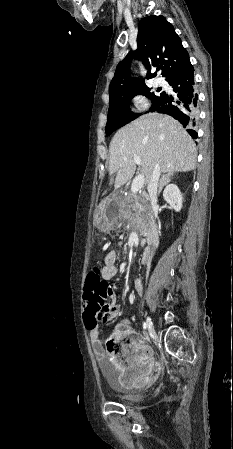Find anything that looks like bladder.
<instances>
[{"label":"bladder","instance_id":"1","mask_svg":"<svg viewBox=\"0 0 233 449\" xmlns=\"http://www.w3.org/2000/svg\"><path fill=\"white\" fill-rule=\"evenodd\" d=\"M110 387L113 395L125 404H133L139 400V395L122 387L120 384L112 382L110 379Z\"/></svg>","mask_w":233,"mask_h":449}]
</instances>
